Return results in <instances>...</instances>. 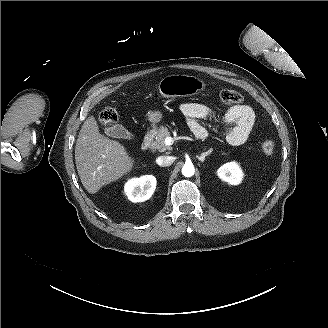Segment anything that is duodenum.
<instances>
[{
	"instance_id": "obj_1",
	"label": "duodenum",
	"mask_w": 328,
	"mask_h": 328,
	"mask_svg": "<svg viewBox=\"0 0 328 328\" xmlns=\"http://www.w3.org/2000/svg\"><path fill=\"white\" fill-rule=\"evenodd\" d=\"M154 135H155V130L154 129H150L146 132L142 144H141V149L143 151H146L149 149V147L151 146L153 139H154Z\"/></svg>"
}]
</instances>
